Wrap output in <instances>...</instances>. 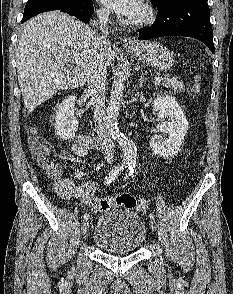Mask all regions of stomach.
<instances>
[{
  "label": "stomach",
  "mask_w": 233,
  "mask_h": 294,
  "mask_svg": "<svg viewBox=\"0 0 233 294\" xmlns=\"http://www.w3.org/2000/svg\"><path fill=\"white\" fill-rule=\"evenodd\" d=\"M129 52L136 59L161 72L168 71L174 63L173 53L157 42L142 43L136 49H129Z\"/></svg>",
  "instance_id": "1"
}]
</instances>
